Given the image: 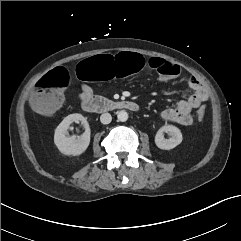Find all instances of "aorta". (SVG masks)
<instances>
[{"label": "aorta", "mask_w": 241, "mask_h": 241, "mask_svg": "<svg viewBox=\"0 0 241 241\" xmlns=\"http://www.w3.org/2000/svg\"><path fill=\"white\" fill-rule=\"evenodd\" d=\"M117 118L121 122H125L128 119V113L125 110H121L117 114Z\"/></svg>", "instance_id": "obj_1"}]
</instances>
